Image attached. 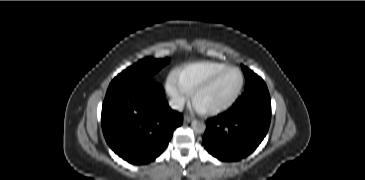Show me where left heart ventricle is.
Listing matches in <instances>:
<instances>
[{"label": "left heart ventricle", "instance_id": "1", "mask_svg": "<svg viewBox=\"0 0 365 180\" xmlns=\"http://www.w3.org/2000/svg\"><path fill=\"white\" fill-rule=\"evenodd\" d=\"M241 83V77L236 70H230L217 78L212 85L200 92L195 104L201 109H211L221 106L232 99Z\"/></svg>", "mask_w": 365, "mask_h": 180}]
</instances>
